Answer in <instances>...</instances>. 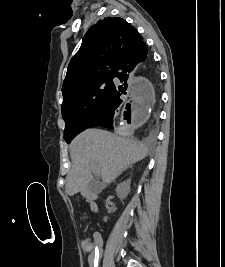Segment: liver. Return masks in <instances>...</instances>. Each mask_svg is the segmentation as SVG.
<instances>
[{
    "label": "liver",
    "instance_id": "6515ba94",
    "mask_svg": "<svg viewBox=\"0 0 225 267\" xmlns=\"http://www.w3.org/2000/svg\"><path fill=\"white\" fill-rule=\"evenodd\" d=\"M147 147L133 138H124L101 129H87L70 144L72 168L66 177V193L85 191L93 179L94 162L104 183L114 180L128 166L147 156Z\"/></svg>",
    "mask_w": 225,
    "mask_h": 267
}]
</instances>
